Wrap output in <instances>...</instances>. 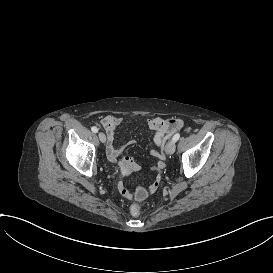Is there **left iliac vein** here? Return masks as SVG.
I'll use <instances>...</instances> for the list:
<instances>
[{"instance_id":"obj_1","label":"left iliac vein","mask_w":273,"mask_h":273,"mask_svg":"<svg viewBox=\"0 0 273 273\" xmlns=\"http://www.w3.org/2000/svg\"><path fill=\"white\" fill-rule=\"evenodd\" d=\"M175 152V141L170 140L166 146V153L172 155Z\"/></svg>"}]
</instances>
